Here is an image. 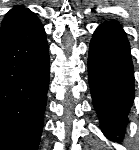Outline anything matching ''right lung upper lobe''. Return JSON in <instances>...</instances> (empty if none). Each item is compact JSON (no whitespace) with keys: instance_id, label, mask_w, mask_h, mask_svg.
Masks as SVG:
<instances>
[{"instance_id":"obj_1","label":"right lung upper lobe","mask_w":139,"mask_h":150,"mask_svg":"<svg viewBox=\"0 0 139 150\" xmlns=\"http://www.w3.org/2000/svg\"><path fill=\"white\" fill-rule=\"evenodd\" d=\"M27 10L24 6H15L13 9H11L6 15L3 20V24L12 19L17 14Z\"/></svg>"}]
</instances>
